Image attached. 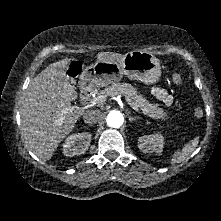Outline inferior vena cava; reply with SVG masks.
<instances>
[{
	"label": "inferior vena cava",
	"instance_id": "inferior-vena-cava-1",
	"mask_svg": "<svg viewBox=\"0 0 221 221\" xmlns=\"http://www.w3.org/2000/svg\"><path fill=\"white\" fill-rule=\"evenodd\" d=\"M100 117V111L99 110H88L84 116L83 120L86 124H94L97 122V120Z\"/></svg>",
	"mask_w": 221,
	"mask_h": 221
}]
</instances>
